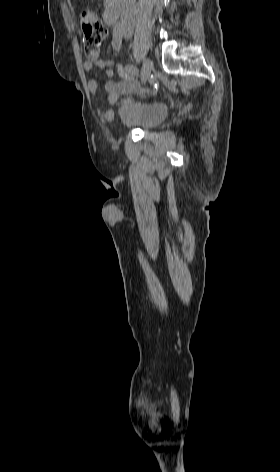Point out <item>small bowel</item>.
<instances>
[{"label":"small bowel","mask_w":280,"mask_h":472,"mask_svg":"<svg viewBox=\"0 0 280 472\" xmlns=\"http://www.w3.org/2000/svg\"><path fill=\"white\" fill-rule=\"evenodd\" d=\"M95 67L104 69L108 78H111L114 75V68L116 67L119 75L123 79L122 81L118 82L109 80L105 84V91L111 104H114L121 94L135 88L134 78L126 72L125 68L120 65H116L113 60L93 57L86 60L83 64V69L86 72L93 71ZM88 89L93 96H96L98 92V82L95 79H91L88 82ZM102 116L106 121L111 120L112 111L105 109L102 111Z\"/></svg>","instance_id":"1"}]
</instances>
